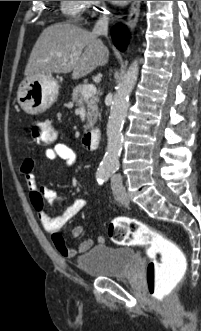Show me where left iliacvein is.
<instances>
[{
  "instance_id": "1",
  "label": "left iliac vein",
  "mask_w": 201,
  "mask_h": 331,
  "mask_svg": "<svg viewBox=\"0 0 201 331\" xmlns=\"http://www.w3.org/2000/svg\"><path fill=\"white\" fill-rule=\"evenodd\" d=\"M112 189H113L115 192H121L122 190H124V187H123L122 181H121L120 179L113 178V179H112Z\"/></svg>"
}]
</instances>
